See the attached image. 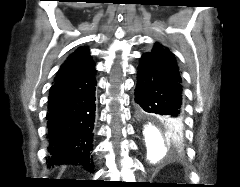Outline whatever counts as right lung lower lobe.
<instances>
[{
    "label": "right lung lower lobe",
    "instance_id": "1",
    "mask_svg": "<svg viewBox=\"0 0 240 187\" xmlns=\"http://www.w3.org/2000/svg\"><path fill=\"white\" fill-rule=\"evenodd\" d=\"M95 65L87 66L50 88L48 101V165L80 164L93 170Z\"/></svg>",
    "mask_w": 240,
    "mask_h": 187
}]
</instances>
